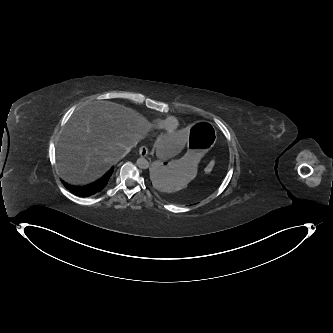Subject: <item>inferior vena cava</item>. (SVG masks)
Listing matches in <instances>:
<instances>
[{
	"mask_svg": "<svg viewBox=\"0 0 333 333\" xmlns=\"http://www.w3.org/2000/svg\"><path fill=\"white\" fill-rule=\"evenodd\" d=\"M129 152H130V149H127V150L122 154V156L118 158V160L124 158Z\"/></svg>",
	"mask_w": 333,
	"mask_h": 333,
	"instance_id": "602c4592",
	"label": "inferior vena cava"
}]
</instances>
